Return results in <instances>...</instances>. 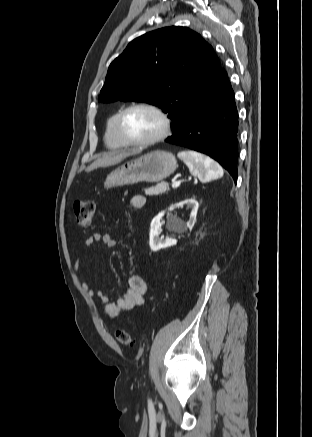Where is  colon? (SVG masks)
<instances>
[{"label":"colon","instance_id":"obj_1","mask_svg":"<svg viewBox=\"0 0 312 437\" xmlns=\"http://www.w3.org/2000/svg\"><path fill=\"white\" fill-rule=\"evenodd\" d=\"M73 207L77 223L83 227L90 226L95 213L94 203L91 201H76ZM115 337L122 345L130 346L133 344L132 336L126 329H118L115 332Z\"/></svg>","mask_w":312,"mask_h":437}]
</instances>
